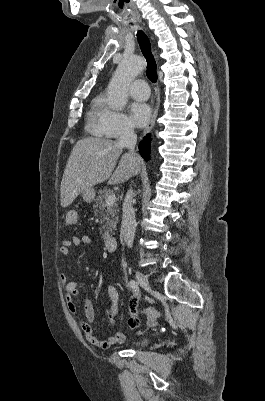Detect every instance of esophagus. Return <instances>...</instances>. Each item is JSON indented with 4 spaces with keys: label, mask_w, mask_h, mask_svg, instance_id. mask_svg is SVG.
I'll use <instances>...</instances> for the list:
<instances>
[{
    "label": "esophagus",
    "mask_w": 265,
    "mask_h": 401,
    "mask_svg": "<svg viewBox=\"0 0 265 401\" xmlns=\"http://www.w3.org/2000/svg\"><path fill=\"white\" fill-rule=\"evenodd\" d=\"M155 55H156V58L158 59V54L155 53ZM158 106H159V93H158L157 99H156V106L152 112V116H151L149 122L147 123V125L145 126V129L143 130V135H146L147 133L150 132V130H152V128L155 124L156 118H157Z\"/></svg>",
    "instance_id": "obj_1"
}]
</instances>
